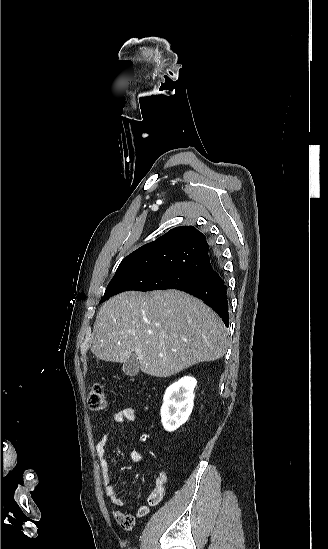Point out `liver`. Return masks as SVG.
I'll return each instance as SVG.
<instances>
[{
  "label": "liver",
  "instance_id": "6515ba94",
  "mask_svg": "<svg viewBox=\"0 0 328 549\" xmlns=\"http://www.w3.org/2000/svg\"><path fill=\"white\" fill-rule=\"evenodd\" d=\"M91 347L97 359L125 363L135 353L142 373L171 377L226 353L227 329L203 301L182 291H126L103 303ZM151 333V335H150Z\"/></svg>",
  "mask_w": 328,
  "mask_h": 549
}]
</instances>
